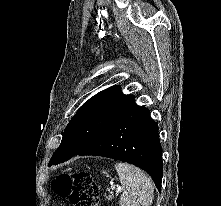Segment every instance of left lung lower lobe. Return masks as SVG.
<instances>
[{
    "instance_id": "1",
    "label": "left lung lower lobe",
    "mask_w": 221,
    "mask_h": 206,
    "mask_svg": "<svg viewBox=\"0 0 221 206\" xmlns=\"http://www.w3.org/2000/svg\"><path fill=\"white\" fill-rule=\"evenodd\" d=\"M75 155L103 156L134 164L146 171L161 191L163 165L158 125L149 110L135 102Z\"/></svg>"
}]
</instances>
